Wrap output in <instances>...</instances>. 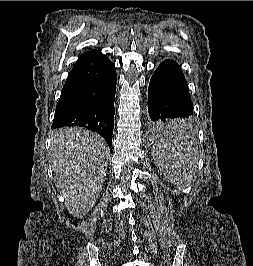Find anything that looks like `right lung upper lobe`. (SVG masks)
<instances>
[{"instance_id": "right-lung-upper-lobe-1", "label": "right lung upper lobe", "mask_w": 253, "mask_h": 266, "mask_svg": "<svg viewBox=\"0 0 253 266\" xmlns=\"http://www.w3.org/2000/svg\"><path fill=\"white\" fill-rule=\"evenodd\" d=\"M92 51H93V50H92ZM90 52H91V51H90ZM90 52H86V53H84L82 56H85V55L89 54ZM82 56H81V57H82Z\"/></svg>"}]
</instances>
